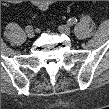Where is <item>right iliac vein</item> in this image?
Segmentation results:
<instances>
[{
	"mask_svg": "<svg viewBox=\"0 0 109 109\" xmlns=\"http://www.w3.org/2000/svg\"><path fill=\"white\" fill-rule=\"evenodd\" d=\"M26 34L29 38H33L35 36V32L33 29L26 30Z\"/></svg>",
	"mask_w": 109,
	"mask_h": 109,
	"instance_id": "obj_1",
	"label": "right iliac vein"
}]
</instances>
